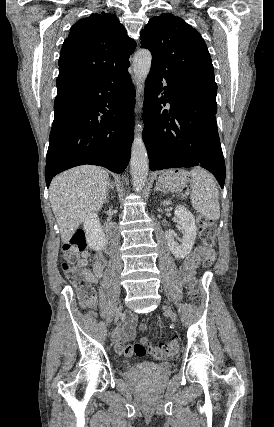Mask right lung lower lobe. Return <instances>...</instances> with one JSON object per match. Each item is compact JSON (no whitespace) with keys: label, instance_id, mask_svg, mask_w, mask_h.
<instances>
[{"label":"right lung lower lobe","instance_id":"right-lung-lower-lobe-1","mask_svg":"<svg viewBox=\"0 0 274 427\" xmlns=\"http://www.w3.org/2000/svg\"><path fill=\"white\" fill-rule=\"evenodd\" d=\"M134 105L135 87L128 68L82 93L55 101L45 167L47 187L55 175L78 165L123 172L131 154Z\"/></svg>","mask_w":274,"mask_h":427}]
</instances>
